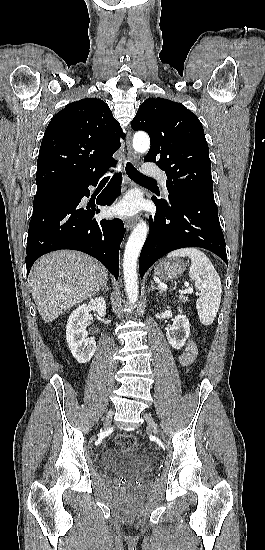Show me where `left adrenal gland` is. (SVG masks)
I'll use <instances>...</instances> for the list:
<instances>
[{"mask_svg": "<svg viewBox=\"0 0 265 550\" xmlns=\"http://www.w3.org/2000/svg\"><path fill=\"white\" fill-rule=\"evenodd\" d=\"M154 289H159V287H155L154 282L151 281V285H150L148 291L150 292V291H152V290H154Z\"/></svg>", "mask_w": 265, "mask_h": 550, "instance_id": "1", "label": "left adrenal gland"}]
</instances>
